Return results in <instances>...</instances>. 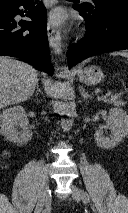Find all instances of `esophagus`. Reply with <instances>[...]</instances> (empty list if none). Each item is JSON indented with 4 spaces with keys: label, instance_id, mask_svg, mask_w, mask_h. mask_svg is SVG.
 Wrapping results in <instances>:
<instances>
[{
    "label": "esophagus",
    "instance_id": "obj_1",
    "mask_svg": "<svg viewBox=\"0 0 128 213\" xmlns=\"http://www.w3.org/2000/svg\"><path fill=\"white\" fill-rule=\"evenodd\" d=\"M47 36H48L50 46L55 49V52L57 54H61L62 52L61 38L57 30L51 24H48L47 26Z\"/></svg>",
    "mask_w": 128,
    "mask_h": 213
}]
</instances>
